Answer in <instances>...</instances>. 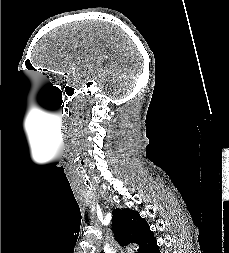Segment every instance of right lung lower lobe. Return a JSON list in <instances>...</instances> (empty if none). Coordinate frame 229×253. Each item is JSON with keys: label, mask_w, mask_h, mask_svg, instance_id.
<instances>
[{"label": "right lung lower lobe", "mask_w": 229, "mask_h": 253, "mask_svg": "<svg viewBox=\"0 0 229 253\" xmlns=\"http://www.w3.org/2000/svg\"><path fill=\"white\" fill-rule=\"evenodd\" d=\"M144 253H160L157 242L155 241Z\"/></svg>", "instance_id": "98d812e1"}]
</instances>
